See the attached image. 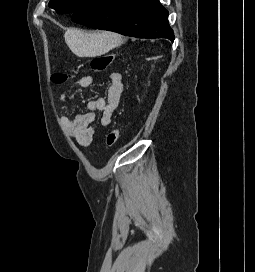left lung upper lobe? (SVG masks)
Segmentation results:
<instances>
[{"label": "left lung upper lobe", "instance_id": "5c2ea615", "mask_svg": "<svg viewBox=\"0 0 255 272\" xmlns=\"http://www.w3.org/2000/svg\"><path fill=\"white\" fill-rule=\"evenodd\" d=\"M89 1L90 0H51L48 5L59 14H67L74 13Z\"/></svg>", "mask_w": 255, "mask_h": 272}]
</instances>
